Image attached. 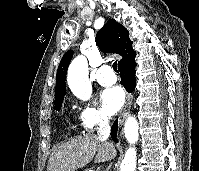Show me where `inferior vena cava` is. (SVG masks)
<instances>
[{"mask_svg":"<svg viewBox=\"0 0 199 171\" xmlns=\"http://www.w3.org/2000/svg\"><path fill=\"white\" fill-rule=\"evenodd\" d=\"M111 127L106 117H101L99 120V127L97 130L98 136L101 140H107L110 136Z\"/></svg>","mask_w":199,"mask_h":171,"instance_id":"602c4592","label":"inferior vena cava"}]
</instances>
